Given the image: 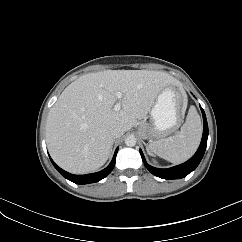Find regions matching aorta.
I'll list each match as a JSON object with an SVG mask.
<instances>
[{
    "mask_svg": "<svg viewBox=\"0 0 242 242\" xmlns=\"http://www.w3.org/2000/svg\"><path fill=\"white\" fill-rule=\"evenodd\" d=\"M125 144L126 146L128 147H133L136 145V138L134 136H128L126 139H125Z\"/></svg>",
    "mask_w": 242,
    "mask_h": 242,
    "instance_id": "obj_1",
    "label": "aorta"
}]
</instances>
